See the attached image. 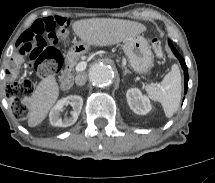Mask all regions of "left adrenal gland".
<instances>
[{"label":"left adrenal gland","instance_id":"1","mask_svg":"<svg viewBox=\"0 0 215 183\" xmlns=\"http://www.w3.org/2000/svg\"><path fill=\"white\" fill-rule=\"evenodd\" d=\"M124 68V75L131 74V72L127 69V67L122 66Z\"/></svg>","mask_w":215,"mask_h":183}]
</instances>
